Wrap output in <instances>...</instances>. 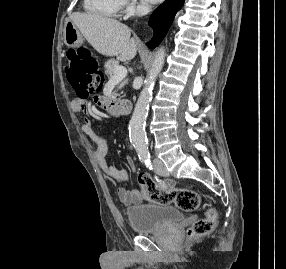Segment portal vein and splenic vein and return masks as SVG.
<instances>
[{
    "label": "portal vein and splenic vein",
    "instance_id": "portal-vein-and-splenic-vein-1",
    "mask_svg": "<svg viewBox=\"0 0 286 269\" xmlns=\"http://www.w3.org/2000/svg\"><path fill=\"white\" fill-rule=\"evenodd\" d=\"M127 75V69L123 66H117L114 75L110 78L111 81L122 80Z\"/></svg>",
    "mask_w": 286,
    "mask_h": 269
}]
</instances>
